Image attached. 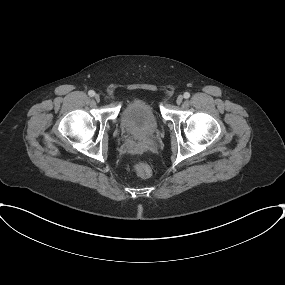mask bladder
Returning <instances> with one entry per match:
<instances>
[{"instance_id": "1", "label": "bladder", "mask_w": 285, "mask_h": 285, "mask_svg": "<svg viewBox=\"0 0 285 285\" xmlns=\"http://www.w3.org/2000/svg\"><path fill=\"white\" fill-rule=\"evenodd\" d=\"M123 127L134 134L149 135L156 131L158 119L151 104L141 98L131 100L121 114Z\"/></svg>"}]
</instances>
